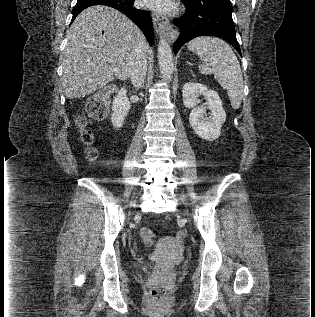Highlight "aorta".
I'll list each match as a JSON object with an SVG mask.
<instances>
[{"instance_id": "aorta-1", "label": "aorta", "mask_w": 315, "mask_h": 317, "mask_svg": "<svg viewBox=\"0 0 315 317\" xmlns=\"http://www.w3.org/2000/svg\"><path fill=\"white\" fill-rule=\"evenodd\" d=\"M158 64L162 78L171 81L174 71L173 54L169 43L163 37L158 45Z\"/></svg>"}]
</instances>
